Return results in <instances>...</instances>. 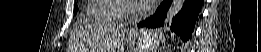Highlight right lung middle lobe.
<instances>
[{
    "label": "right lung middle lobe",
    "mask_w": 261,
    "mask_h": 52,
    "mask_svg": "<svg viewBox=\"0 0 261 52\" xmlns=\"http://www.w3.org/2000/svg\"><path fill=\"white\" fill-rule=\"evenodd\" d=\"M77 11V5H75L74 7V13Z\"/></svg>",
    "instance_id": "right-lung-middle-lobe-1"
}]
</instances>
